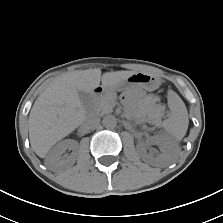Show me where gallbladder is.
I'll list each match as a JSON object with an SVG mask.
<instances>
[{"mask_svg": "<svg viewBox=\"0 0 223 223\" xmlns=\"http://www.w3.org/2000/svg\"><path fill=\"white\" fill-rule=\"evenodd\" d=\"M78 94L82 104L87 106L92 99L91 95L85 91H79Z\"/></svg>", "mask_w": 223, "mask_h": 223, "instance_id": "obj_1", "label": "gallbladder"}]
</instances>
